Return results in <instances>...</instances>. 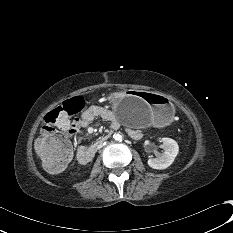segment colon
<instances>
[{"mask_svg":"<svg viewBox=\"0 0 233 233\" xmlns=\"http://www.w3.org/2000/svg\"><path fill=\"white\" fill-rule=\"evenodd\" d=\"M84 106L83 97L75 96L46 114L42 133L35 144V149L47 171L60 172L70 162L72 158L70 141L54 132H57V127H65V122L79 113Z\"/></svg>","mask_w":233,"mask_h":233,"instance_id":"5ec220e1","label":"colon"}]
</instances>
